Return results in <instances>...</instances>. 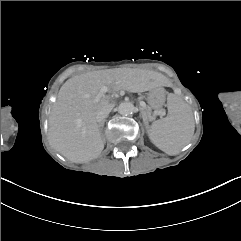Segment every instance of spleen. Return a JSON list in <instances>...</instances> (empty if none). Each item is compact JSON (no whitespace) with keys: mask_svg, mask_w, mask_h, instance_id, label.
<instances>
[{"mask_svg":"<svg viewBox=\"0 0 241 241\" xmlns=\"http://www.w3.org/2000/svg\"><path fill=\"white\" fill-rule=\"evenodd\" d=\"M168 102V116L154 121L148 135L160 150L168 155H175L194 134V121L188 104L178 95H169Z\"/></svg>","mask_w":241,"mask_h":241,"instance_id":"spleen-1","label":"spleen"}]
</instances>
